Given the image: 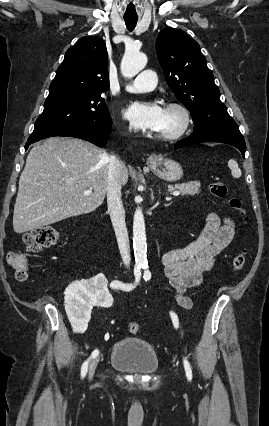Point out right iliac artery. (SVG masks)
I'll use <instances>...</instances> for the list:
<instances>
[{"mask_svg": "<svg viewBox=\"0 0 269 426\" xmlns=\"http://www.w3.org/2000/svg\"><path fill=\"white\" fill-rule=\"evenodd\" d=\"M140 269H141L140 267H137V268H135V270H134V275H135V283H134V284H120V283H119V282H117V281H113V282L111 283V286H112V287H114V288H121V289H124V290H126V291H130V290H132V289L136 286V284L139 282V280H140V277H141ZM98 354H99L98 349H95V350L92 352V354H91L90 358H89L88 360H86V361L82 364V367H81V377H82V378H84V377L86 376V373H87V370H88L89 361H90L92 358H95Z\"/></svg>", "mask_w": 269, "mask_h": 426, "instance_id": "1", "label": "right iliac artery"}]
</instances>
